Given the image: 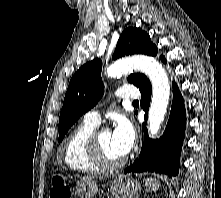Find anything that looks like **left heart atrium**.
Masks as SVG:
<instances>
[{"instance_id":"1","label":"left heart atrium","mask_w":221,"mask_h":198,"mask_svg":"<svg viewBox=\"0 0 221 198\" xmlns=\"http://www.w3.org/2000/svg\"><path fill=\"white\" fill-rule=\"evenodd\" d=\"M111 139L121 155L128 154L135 141V131L132 124L126 119H119L111 132Z\"/></svg>"}]
</instances>
